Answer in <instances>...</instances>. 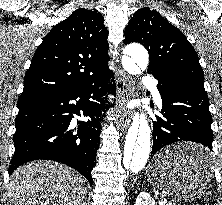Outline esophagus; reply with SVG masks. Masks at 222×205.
Listing matches in <instances>:
<instances>
[{
    "instance_id": "obj_1",
    "label": "esophagus",
    "mask_w": 222,
    "mask_h": 205,
    "mask_svg": "<svg viewBox=\"0 0 222 205\" xmlns=\"http://www.w3.org/2000/svg\"><path fill=\"white\" fill-rule=\"evenodd\" d=\"M132 79L122 73L121 77L117 81L118 99H117V111L120 115L119 126L122 131L126 130L130 122V112L126 109V105L129 102L132 94Z\"/></svg>"
}]
</instances>
